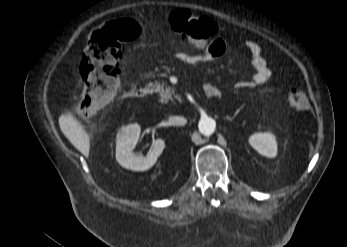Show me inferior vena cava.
Segmentation results:
<instances>
[{
	"instance_id": "1",
	"label": "inferior vena cava",
	"mask_w": 347,
	"mask_h": 247,
	"mask_svg": "<svg viewBox=\"0 0 347 247\" xmlns=\"http://www.w3.org/2000/svg\"><path fill=\"white\" fill-rule=\"evenodd\" d=\"M169 123L175 126H181L186 124V119L180 116H173L169 118Z\"/></svg>"
}]
</instances>
